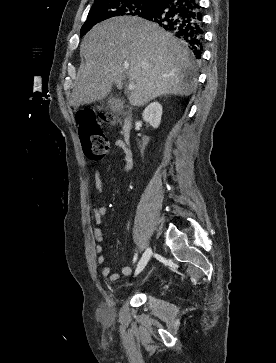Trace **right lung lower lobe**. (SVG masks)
<instances>
[{"mask_svg": "<svg viewBox=\"0 0 276 363\" xmlns=\"http://www.w3.org/2000/svg\"><path fill=\"white\" fill-rule=\"evenodd\" d=\"M199 0H162L143 18L154 22L188 44L196 58L203 50V22Z\"/></svg>", "mask_w": 276, "mask_h": 363, "instance_id": "obj_1", "label": "right lung lower lobe"}]
</instances>
